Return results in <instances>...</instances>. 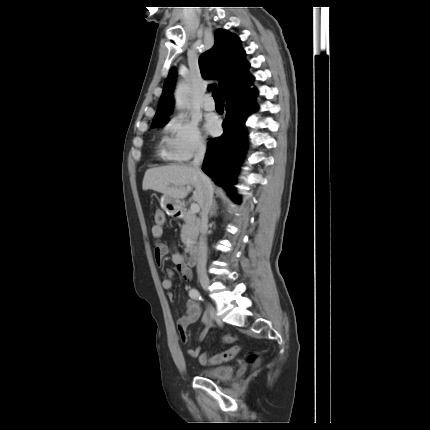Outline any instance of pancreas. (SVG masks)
<instances>
[{
  "instance_id": "obj_1",
  "label": "pancreas",
  "mask_w": 430,
  "mask_h": 430,
  "mask_svg": "<svg viewBox=\"0 0 430 430\" xmlns=\"http://www.w3.org/2000/svg\"><path fill=\"white\" fill-rule=\"evenodd\" d=\"M185 224L181 229V240L184 244L192 242L199 233L200 219L196 217L191 211L184 213L183 218Z\"/></svg>"
}]
</instances>
